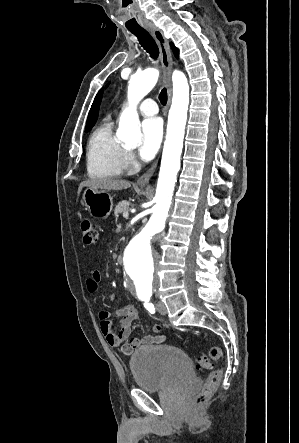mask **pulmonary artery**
<instances>
[{"instance_id":"1","label":"pulmonary artery","mask_w":299,"mask_h":443,"mask_svg":"<svg viewBox=\"0 0 299 443\" xmlns=\"http://www.w3.org/2000/svg\"><path fill=\"white\" fill-rule=\"evenodd\" d=\"M139 112L145 116H152L158 112L157 104L152 99H146L139 105Z\"/></svg>"}]
</instances>
